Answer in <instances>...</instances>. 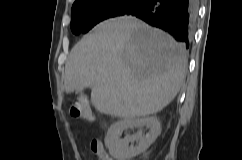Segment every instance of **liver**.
I'll return each mask as SVG.
<instances>
[{
    "label": "liver",
    "mask_w": 242,
    "mask_h": 160,
    "mask_svg": "<svg viewBox=\"0 0 242 160\" xmlns=\"http://www.w3.org/2000/svg\"><path fill=\"white\" fill-rule=\"evenodd\" d=\"M186 49L170 35L131 16L99 23L71 50L66 93L91 88L102 114L134 119L153 115L177 95L185 79Z\"/></svg>",
    "instance_id": "1"
}]
</instances>
